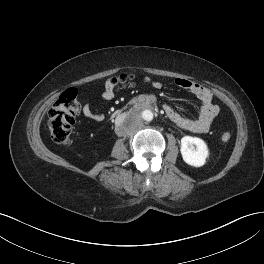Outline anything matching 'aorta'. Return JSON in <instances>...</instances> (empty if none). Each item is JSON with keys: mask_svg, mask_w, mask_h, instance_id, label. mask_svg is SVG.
Returning <instances> with one entry per match:
<instances>
[{"mask_svg": "<svg viewBox=\"0 0 264 264\" xmlns=\"http://www.w3.org/2000/svg\"><path fill=\"white\" fill-rule=\"evenodd\" d=\"M139 116L141 118L142 121H152L153 120V112L151 110L145 109L141 112H139Z\"/></svg>", "mask_w": 264, "mask_h": 264, "instance_id": "aorta-1", "label": "aorta"}]
</instances>
